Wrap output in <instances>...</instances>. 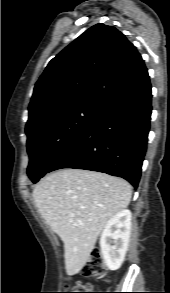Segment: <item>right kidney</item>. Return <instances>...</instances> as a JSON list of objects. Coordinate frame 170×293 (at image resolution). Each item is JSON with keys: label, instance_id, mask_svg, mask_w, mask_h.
<instances>
[{"label": "right kidney", "instance_id": "right-kidney-1", "mask_svg": "<svg viewBox=\"0 0 170 293\" xmlns=\"http://www.w3.org/2000/svg\"><path fill=\"white\" fill-rule=\"evenodd\" d=\"M131 212L124 209L113 216L103 228L100 248L107 268L118 270L125 258L131 232Z\"/></svg>", "mask_w": 170, "mask_h": 293}]
</instances>
